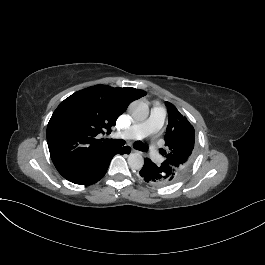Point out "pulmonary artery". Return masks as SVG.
I'll return each mask as SVG.
<instances>
[{
  "label": "pulmonary artery",
  "mask_w": 265,
  "mask_h": 265,
  "mask_svg": "<svg viewBox=\"0 0 265 265\" xmlns=\"http://www.w3.org/2000/svg\"><path fill=\"white\" fill-rule=\"evenodd\" d=\"M150 111V118L147 121L140 125L132 126L130 129L126 128L124 130H117L115 132V137L126 141L131 139H141L142 137L154 139L156 135L161 133L160 126L163 123L165 112L164 107L161 104H152L150 106ZM149 153L156 163H161L163 161L162 153L156 146H151L149 148Z\"/></svg>",
  "instance_id": "pulmonary-artery-1"
}]
</instances>
